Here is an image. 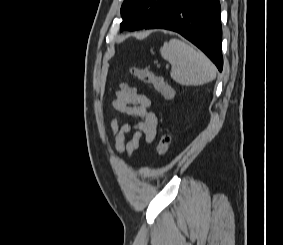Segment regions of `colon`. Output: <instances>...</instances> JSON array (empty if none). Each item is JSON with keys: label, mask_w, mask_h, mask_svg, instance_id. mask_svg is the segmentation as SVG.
Returning a JSON list of instances; mask_svg holds the SVG:
<instances>
[{"label": "colon", "mask_w": 283, "mask_h": 245, "mask_svg": "<svg viewBox=\"0 0 283 245\" xmlns=\"http://www.w3.org/2000/svg\"><path fill=\"white\" fill-rule=\"evenodd\" d=\"M130 73L142 81L143 83L152 85L158 92H160L166 101H171L174 97V92L164 79L153 72L142 68L138 65H133L130 68ZM171 142V137L167 133H163L157 144V153L160 157H164L168 152Z\"/></svg>", "instance_id": "obj_1"}]
</instances>
